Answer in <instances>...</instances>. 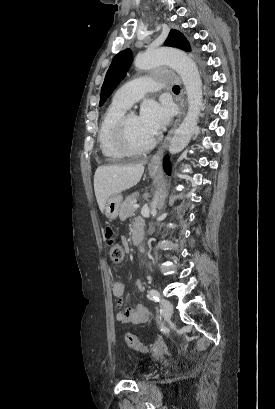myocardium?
<instances>
[{"instance_id": "obj_1", "label": "myocardium", "mask_w": 275, "mask_h": 409, "mask_svg": "<svg viewBox=\"0 0 275 409\" xmlns=\"http://www.w3.org/2000/svg\"><path fill=\"white\" fill-rule=\"evenodd\" d=\"M130 114L124 115L117 126V140L120 149L129 155H144L150 152L156 145L157 139L153 138L147 145L143 147H137L132 144L130 135H129V128H128V120Z\"/></svg>"}]
</instances>
